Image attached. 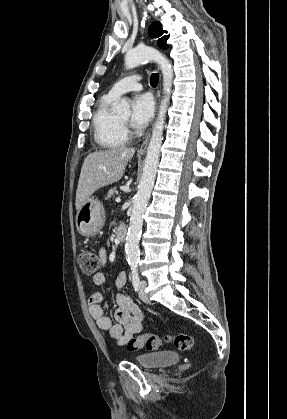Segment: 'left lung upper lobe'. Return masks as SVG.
<instances>
[{
	"label": "left lung upper lobe",
	"instance_id": "left-lung-upper-lobe-1",
	"mask_svg": "<svg viewBox=\"0 0 287 419\" xmlns=\"http://www.w3.org/2000/svg\"><path fill=\"white\" fill-rule=\"evenodd\" d=\"M167 33V31H165ZM149 35L153 38H158L163 35V29L160 22H154L149 28ZM169 36L165 35L158 39V46L162 49H167L166 43Z\"/></svg>",
	"mask_w": 287,
	"mask_h": 419
}]
</instances>
